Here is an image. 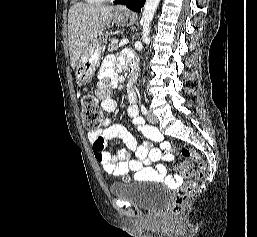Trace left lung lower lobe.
Listing matches in <instances>:
<instances>
[{"instance_id":"0a47b994","label":"left lung lower lobe","mask_w":257,"mask_h":237,"mask_svg":"<svg viewBox=\"0 0 257 237\" xmlns=\"http://www.w3.org/2000/svg\"><path fill=\"white\" fill-rule=\"evenodd\" d=\"M115 4H124L127 8L140 12L141 7L144 5L145 0H118L114 2Z\"/></svg>"}]
</instances>
